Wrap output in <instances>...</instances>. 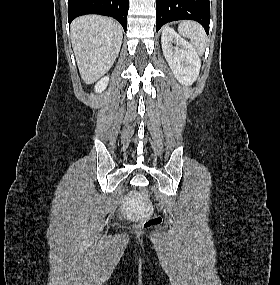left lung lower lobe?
<instances>
[{"mask_svg": "<svg viewBox=\"0 0 280 285\" xmlns=\"http://www.w3.org/2000/svg\"><path fill=\"white\" fill-rule=\"evenodd\" d=\"M156 31L176 20H195L209 33V0H156Z\"/></svg>", "mask_w": 280, "mask_h": 285, "instance_id": "left-lung-lower-lobe-1", "label": "left lung lower lobe"}]
</instances>
